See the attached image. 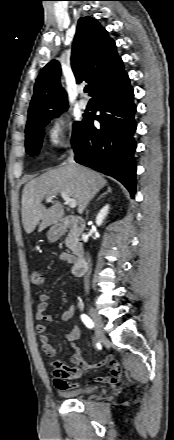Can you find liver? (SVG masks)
<instances>
[{"label":"liver","instance_id":"obj_1","mask_svg":"<svg viewBox=\"0 0 174 440\" xmlns=\"http://www.w3.org/2000/svg\"><path fill=\"white\" fill-rule=\"evenodd\" d=\"M107 181L97 172L75 163H65L29 181L22 193V223L27 234L39 224V231L59 221L63 206L59 201L46 208L42 201L61 192L76 200L78 213L82 214L91 199L106 185Z\"/></svg>","mask_w":174,"mask_h":440}]
</instances>
